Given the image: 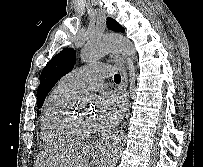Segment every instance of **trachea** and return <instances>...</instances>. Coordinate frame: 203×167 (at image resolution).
<instances>
[{
	"label": "trachea",
	"instance_id": "1",
	"mask_svg": "<svg viewBox=\"0 0 203 167\" xmlns=\"http://www.w3.org/2000/svg\"><path fill=\"white\" fill-rule=\"evenodd\" d=\"M114 81H115L116 83H120V82H121V76H120L119 74H115V75H114Z\"/></svg>",
	"mask_w": 203,
	"mask_h": 167
}]
</instances>
